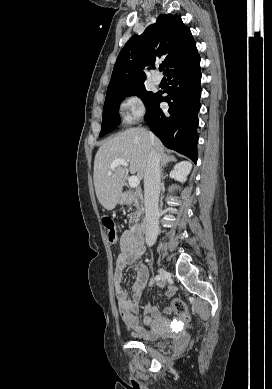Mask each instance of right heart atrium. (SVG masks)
Masks as SVG:
<instances>
[{
	"mask_svg": "<svg viewBox=\"0 0 272 389\" xmlns=\"http://www.w3.org/2000/svg\"><path fill=\"white\" fill-rule=\"evenodd\" d=\"M120 111L123 120L132 123L143 116L145 111L144 102L140 96H127L120 104Z\"/></svg>",
	"mask_w": 272,
	"mask_h": 389,
	"instance_id": "right-heart-atrium-1",
	"label": "right heart atrium"
}]
</instances>
